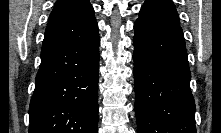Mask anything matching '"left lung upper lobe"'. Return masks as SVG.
Wrapping results in <instances>:
<instances>
[{"mask_svg": "<svg viewBox=\"0 0 221 133\" xmlns=\"http://www.w3.org/2000/svg\"><path fill=\"white\" fill-rule=\"evenodd\" d=\"M139 21L179 26V15L172 0H146L141 7Z\"/></svg>", "mask_w": 221, "mask_h": 133, "instance_id": "1", "label": "left lung upper lobe"}]
</instances>
